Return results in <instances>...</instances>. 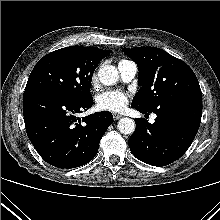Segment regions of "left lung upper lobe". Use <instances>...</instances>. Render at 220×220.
I'll use <instances>...</instances> for the list:
<instances>
[{"label": "left lung upper lobe", "instance_id": "5c2ea615", "mask_svg": "<svg viewBox=\"0 0 220 220\" xmlns=\"http://www.w3.org/2000/svg\"><path fill=\"white\" fill-rule=\"evenodd\" d=\"M138 66L141 86L132 107L152 112L165 102L188 94H201L196 75L182 60L155 47L122 48Z\"/></svg>", "mask_w": 220, "mask_h": 220}]
</instances>
